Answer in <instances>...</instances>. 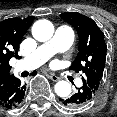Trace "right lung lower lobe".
Segmentation results:
<instances>
[{
	"mask_svg": "<svg viewBox=\"0 0 117 117\" xmlns=\"http://www.w3.org/2000/svg\"><path fill=\"white\" fill-rule=\"evenodd\" d=\"M26 86L20 79L13 76L0 91V107L12 109L22 102Z\"/></svg>",
	"mask_w": 117,
	"mask_h": 117,
	"instance_id": "right-lung-lower-lobe-1",
	"label": "right lung lower lobe"
}]
</instances>
